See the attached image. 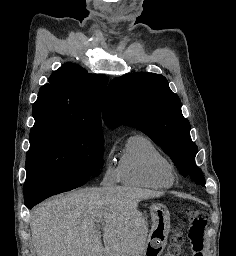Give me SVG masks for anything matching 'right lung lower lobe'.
I'll return each instance as SVG.
<instances>
[{
  "mask_svg": "<svg viewBox=\"0 0 236 256\" xmlns=\"http://www.w3.org/2000/svg\"><path fill=\"white\" fill-rule=\"evenodd\" d=\"M87 181L88 180L84 179V180H79V181H76V182H73L70 184H66L63 186L46 189V190L36 193L32 196H29L28 198H24L25 205L28 209H31L36 204H38L39 202L43 201L46 198H48L52 195L58 194V193H62V192L69 191V190L75 189L77 187H80L83 184H85Z\"/></svg>",
  "mask_w": 236,
  "mask_h": 256,
  "instance_id": "right-lung-lower-lobe-1",
  "label": "right lung lower lobe"
}]
</instances>
